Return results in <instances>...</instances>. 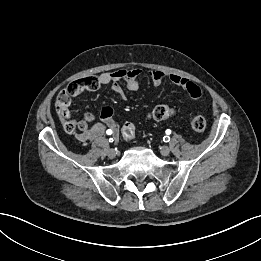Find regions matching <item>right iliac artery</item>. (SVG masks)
Returning <instances> with one entry per match:
<instances>
[{"mask_svg":"<svg viewBox=\"0 0 261 261\" xmlns=\"http://www.w3.org/2000/svg\"><path fill=\"white\" fill-rule=\"evenodd\" d=\"M107 134H112V131L111 130H107ZM114 140H113V138H109V142H113Z\"/></svg>","mask_w":261,"mask_h":261,"instance_id":"right-iliac-artery-1","label":"right iliac artery"}]
</instances>
